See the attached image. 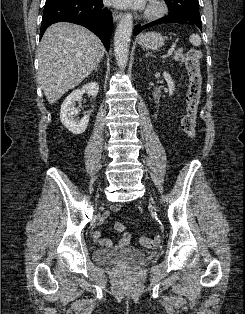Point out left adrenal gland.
I'll return each instance as SVG.
<instances>
[{"instance_id": "a2214340", "label": "left adrenal gland", "mask_w": 245, "mask_h": 314, "mask_svg": "<svg viewBox=\"0 0 245 314\" xmlns=\"http://www.w3.org/2000/svg\"><path fill=\"white\" fill-rule=\"evenodd\" d=\"M148 56H153V55L150 54V53H146V54H145V57H148Z\"/></svg>"}]
</instances>
